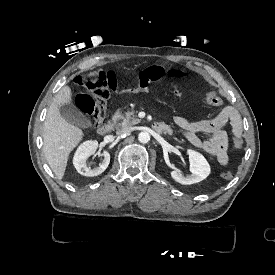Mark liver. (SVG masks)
<instances>
[{"mask_svg": "<svg viewBox=\"0 0 275 275\" xmlns=\"http://www.w3.org/2000/svg\"><path fill=\"white\" fill-rule=\"evenodd\" d=\"M95 73H90L94 75ZM71 102V89L64 86L55 95L47 111L43 126L44 156L58 179H62L70 152L82 140L83 132L68 123L60 114L59 106Z\"/></svg>", "mask_w": 275, "mask_h": 275, "instance_id": "liver-1", "label": "liver"}]
</instances>
